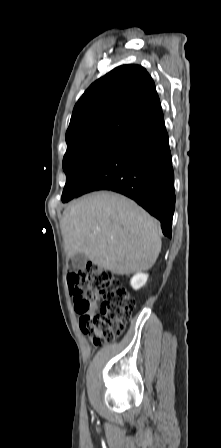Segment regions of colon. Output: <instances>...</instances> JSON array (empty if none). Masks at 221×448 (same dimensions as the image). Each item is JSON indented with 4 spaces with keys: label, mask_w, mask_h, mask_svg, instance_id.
<instances>
[{
    "label": "colon",
    "mask_w": 221,
    "mask_h": 448,
    "mask_svg": "<svg viewBox=\"0 0 221 448\" xmlns=\"http://www.w3.org/2000/svg\"><path fill=\"white\" fill-rule=\"evenodd\" d=\"M68 287L74 311L80 316V329L100 347L113 341L130 320L134 301L125 286L110 271L96 265L68 274ZM101 300L99 312L92 311Z\"/></svg>",
    "instance_id": "5ec220e1"
}]
</instances>
